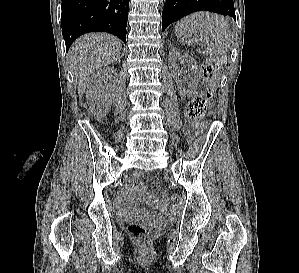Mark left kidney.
<instances>
[{
    "label": "left kidney",
    "mask_w": 299,
    "mask_h": 273,
    "mask_svg": "<svg viewBox=\"0 0 299 273\" xmlns=\"http://www.w3.org/2000/svg\"><path fill=\"white\" fill-rule=\"evenodd\" d=\"M169 67L171 69V73L175 78L178 91L183 97H190L192 94L196 92L199 80H200V69L198 68L197 62L190 57L189 55L181 53L176 48H171L169 53ZM183 61L186 62L187 68L182 71L178 68L176 62ZM191 72V80L189 83V88H185L183 86L182 76L187 72Z\"/></svg>",
    "instance_id": "left-kidney-1"
}]
</instances>
